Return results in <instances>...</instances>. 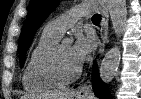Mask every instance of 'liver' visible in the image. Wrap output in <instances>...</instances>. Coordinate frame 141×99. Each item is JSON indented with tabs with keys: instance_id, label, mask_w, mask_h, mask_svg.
I'll list each match as a JSON object with an SVG mask.
<instances>
[{
	"instance_id": "1",
	"label": "liver",
	"mask_w": 141,
	"mask_h": 99,
	"mask_svg": "<svg viewBox=\"0 0 141 99\" xmlns=\"http://www.w3.org/2000/svg\"><path fill=\"white\" fill-rule=\"evenodd\" d=\"M74 94V90H59L40 95H24L21 99H73Z\"/></svg>"
}]
</instances>
